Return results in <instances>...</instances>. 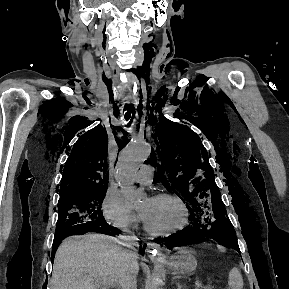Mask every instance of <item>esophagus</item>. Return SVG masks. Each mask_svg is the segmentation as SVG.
<instances>
[{
  "mask_svg": "<svg viewBox=\"0 0 289 289\" xmlns=\"http://www.w3.org/2000/svg\"><path fill=\"white\" fill-rule=\"evenodd\" d=\"M146 251L148 256L158 258L161 255V246L155 242L147 243Z\"/></svg>",
  "mask_w": 289,
  "mask_h": 289,
  "instance_id": "obj_1",
  "label": "esophagus"
}]
</instances>
